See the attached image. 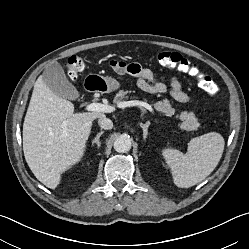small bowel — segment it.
Listing matches in <instances>:
<instances>
[{
	"label": "small bowel",
	"mask_w": 249,
	"mask_h": 249,
	"mask_svg": "<svg viewBox=\"0 0 249 249\" xmlns=\"http://www.w3.org/2000/svg\"><path fill=\"white\" fill-rule=\"evenodd\" d=\"M120 74L128 73L137 78V86L151 94H162L167 91L164 82L156 78L154 73L149 69L138 64H127L124 71H118ZM170 94L176 101L186 103L189 101L188 94L183 90L180 80L173 76L170 80Z\"/></svg>",
	"instance_id": "obj_1"
}]
</instances>
